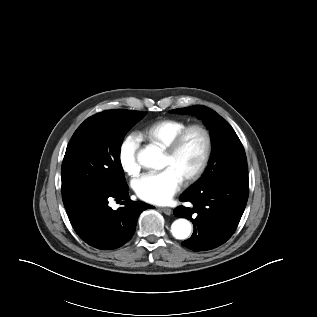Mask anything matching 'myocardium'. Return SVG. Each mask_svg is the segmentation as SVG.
Returning <instances> with one entry per match:
<instances>
[{
    "label": "myocardium",
    "mask_w": 317,
    "mask_h": 317,
    "mask_svg": "<svg viewBox=\"0 0 317 317\" xmlns=\"http://www.w3.org/2000/svg\"><path fill=\"white\" fill-rule=\"evenodd\" d=\"M193 130H198L200 131L205 139V148H204V153L202 156V159L196 168V170L191 173L190 175L186 176L183 178V180L187 183H193L199 180L202 175L204 174L210 158L212 154V147H213V140H212V135L209 129L204 126L203 124L195 123V124H189L187 125L184 129H182L170 142V144L166 147L165 153L170 156L174 157L177 155L179 152L183 142L185 141L187 135L193 131Z\"/></svg>",
    "instance_id": "myocardium-1"
}]
</instances>
